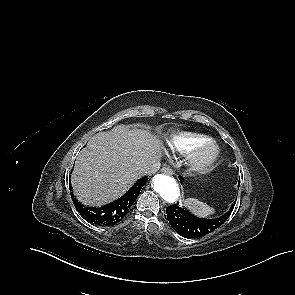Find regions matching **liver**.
Segmentation results:
<instances>
[{
	"instance_id": "1",
	"label": "liver",
	"mask_w": 295,
	"mask_h": 295,
	"mask_svg": "<svg viewBox=\"0 0 295 295\" xmlns=\"http://www.w3.org/2000/svg\"><path fill=\"white\" fill-rule=\"evenodd\" d=\"M160 141L149 131L117 125L95 134L78 154L72 173L74 194L84 205L101 206L122 196L157 163Z\"/></svg>"
}]
</instances>
